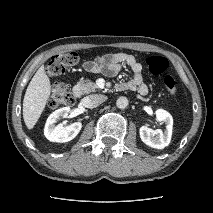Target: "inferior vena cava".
<instances>
[{
    "label": "inferior vena cava",
    "mask_w": 213,
    "mask_h": 213,
    "mask_svg": "<svg viewBox=\"0 0 213 213\" xmlns=\"http://www.w3.org/2000/svg\"><path fill=\"white\" fill-rule=\"evenodd\" d=\"M107 100V96L101 94H93L84 98V104L87 108H95Z\"/></svg>",
    "instance_id": "1"
}]
</instances>
